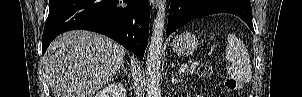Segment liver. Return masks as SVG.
<instances>
[{
  "mask_svg": "<svg viewBox=\"0 0 302 97\" xmlns=\"http://www.w3.org/2000/svg\"><path fill=\"white\" fill-rule=\"evenodd\" d=\"M125 54L124 47L94 32L58 36L43 58L54 97H92L120 69Z\"/></svg>",
  "mask_w": 302,
  "mask_h": 97,
  "instance_id": "6515ba94",
  "label": "liver"
}]
</instances>
